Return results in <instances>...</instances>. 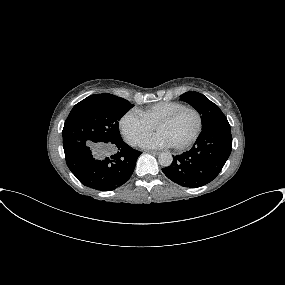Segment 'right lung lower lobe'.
Wrapping results in <instances>:
<instances>
[{
    "label": "right lung lower lobe",
    "instance_id": "98d812e1",
    "mask_svg": "<svg viewBox=\"0 0 285 285\" xmlns=\"http://www.w3.org/2000/svg\"><path fill=\"white\" fill-rule=\"evenodd\" d=\"M116 152L109 153L108 147ZM68 168L85 186L99 191H112L132 175L141 152L123 140L114 143L70 141L63 145Z\"/></svg>",
    "mask_w": 285,
    "mask_h": 285
}]
</instances>
